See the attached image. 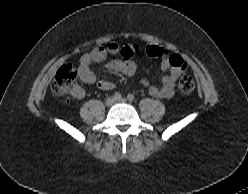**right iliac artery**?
Listing matches in <instances>:
<instances>
[{"label":"right iliac artery","instance_id":"82829eb1","mask_svg":"<svg viewBox=\"0 0 248 194\" xmlns=\"http://www.w3.org/2000/svg\"><path fill=\"white\" fill-rule=\"evenodd\" d=\"M121 97H122V95H121L119 92H116V93H114V95H113V98H114L115 100H119V99H121Z\"/></svg>","mask_w":248,"mask_h":194}]
</instances>
